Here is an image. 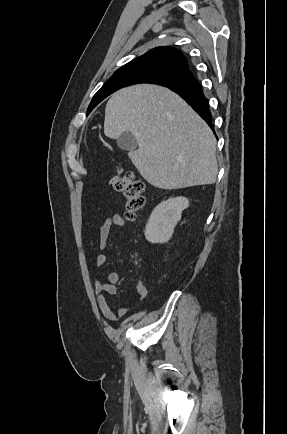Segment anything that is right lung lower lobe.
Returning a JSON list of instances; mask_svg holds the SVG:
<instances>
[{"mask_svg":"<svg viewBox=\"0 0 287 434\" xmlns=\"http://www.w3.org/2000/svg\"><path fill=\"white\" fill-rule=\"evenodd\" d=\"M178 93L211 127L213 130L211 112L208 101L199 82L193 74L188 73L183 79L165 86Z\"/></svg>","mask_w":287,"mask_h":434,"instance_id":"98d812e1","label":"right lung lower lobe"}]
</instances>
